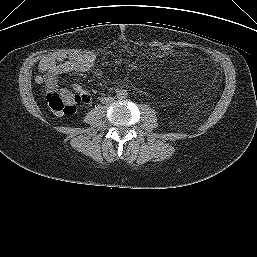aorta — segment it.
Returning a JSON list of instances; mask_svg holds the SVG:
<instances>
[{"label":"aorta","instance_id":"762f6f07","mask_svg":"<svg viewBox=\"0 0 257 257\" xmlns=\"http://www.w3.org/2000/svg\"><path fill=\"white\" fill-rule=\"evenodd\" d=\"M116 95L118 99H125L127 98L128 93L125 89H119L117 90Z\"/></svg>","mask_w":257,"mask_h":257}]
</instances>
